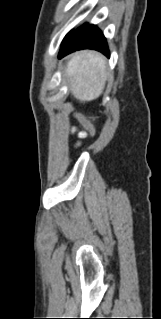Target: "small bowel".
Segmentation results:
<instances>
[{"label":"small bowel","instance_id":"c3829d8e","mask_svg":"<svg viewBox=\"0 0 161 319\" xmlns=\"http://www.w3.org/2000/svg\"><path fill=\"white\" fill-rule=\"evenodd\" d=\"M77 132V130L75 129V128H73L72 129V133H76ZM78 136L80 137V138H84L85 136H86V133L85 132H79L78 133Z\"/></svg>","mask_w":161,"mask_h":319}]
</instances>
